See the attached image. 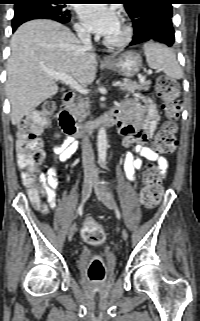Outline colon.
<instances>
[{
  "label": "colon",
  "mask_w": 200,
  "mask_h": 321,
  "mask_svg": "<svg viewBox=\"0 0 200 321\" xmlns=\"http://www.w3.org/2000/svg\"><path fill=\"white\" fill-rule=\"evenodd\" d=\"M179 93V85L175 80L167 76H161L157 80L156 94L162 101V107L167 118L154 139V148L161 154L172 153L176 148V122L181 109V103L178 100ZM54 111L55 104L52 101L43 103L40 109L33 111L20 124L16 144L17 164L22 171V182L29 189L33 204L42 212H46L47 207L41 203V193L36 187L38 169L44 159L43 142L39 135L49 124ZM143 184L140 193L141 203L145 208L152 209L159 203L163 192L160 169L152 164L146 165ZM81 234L83 239L92 245H99L105 239L102 227L91 219L84 222ZM88 274L92 281H102L105 275L102 262L94 260L89 267Z\"/></svg>",
  "instance_id": "1"
}]
</instances>
